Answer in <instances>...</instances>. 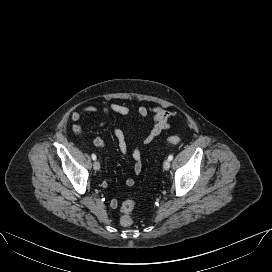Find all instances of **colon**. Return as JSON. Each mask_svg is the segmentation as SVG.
<instances>
[{"instance_id": "1", "label": "colon", "mask_w": 272, "mask_h": 272, "mask_svg": "<svg viewBox=\"0 0 272 272\" xmlns=\"http://www.w3.org/2000/svg\"><path fill=\"white\" fill-rule=\"evenodd\" d=\"M167 142L170 145H176L180 142V138L178 136H170L167 139ZM135 207V202L133 200H126L121 205V225L124 227H130L133 224V218L131 213Z\"/></svg>"}]
</instances>
